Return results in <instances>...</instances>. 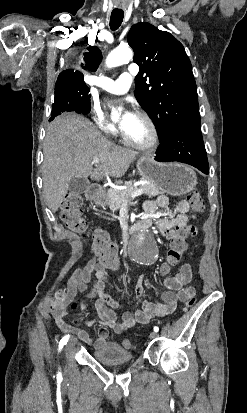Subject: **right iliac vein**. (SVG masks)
Returning <instances> with one entry per match:
<instances>
[{"instance_id":"63e3f726","label":"right iliac vein","mask_w":247,"mask_h":413,"mask_svg":"<svg viewBox=\"0 0 247 413\" xmlns=\"http://www.w3.org/2000/svg\"><path fill=\"white\" fill-rule=\"evenodd\" d=\"M75 344H76V339L75 338L71 339L66 345V352L69 353L74 348Z\"/></svg>"}]
</instances>
